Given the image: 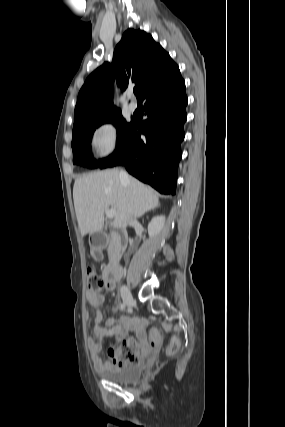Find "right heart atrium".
I'll return each instance as SVG.
<instances>
[{
    "label": "right heart atrium",
    "mask_w": 285,
    "mask_h": 427,
    "mask_svg": "<svg viewBox=\"0 0 285 427\" xmlns=\"http://www.w3.org/2000/svg\"><path fill=\"white\" fill-rule=\"evenodd\" d=\"M119 135L115 123L104 121L93 129L90 137L91 148L99 159H106L118 147Z\"/></svg>",
    "instance_id": "d8ad5b80"
}]
</instances>
